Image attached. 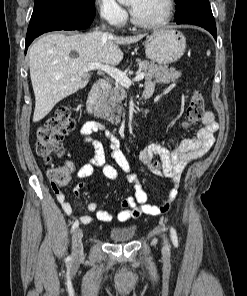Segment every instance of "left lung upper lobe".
Listing matches in <instances>:
<instances>
[{
    "label": "left lung upper lobe",
    "mask_w": 247,
    "mask_h": 296,
    "mask_svg": "<svg viewBox=\"0 0 247 296\" xmlns=\"http://www.w3.org/2000/svg\"><path fill=\"white\" fill-rule=\"evenodd\" d=\"M177 4V10L175 17L183 15L185 12L189 11L199 2H209V0H175Z\"/></svg>",
    "instance_id": "left-lung-upper-lobe-1"
}]
</instances>
